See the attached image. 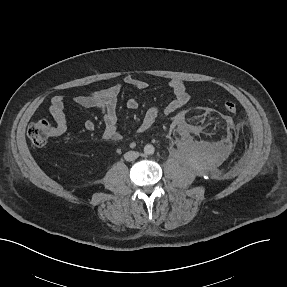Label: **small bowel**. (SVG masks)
<instances>
[{
  "label": "small bowel",
  "mask_w": 287,
  "mask_h": 287,
  "mask_svg": "<svg viewBox=\"0 0 287 287\" xmlns=\"http://www.w3.org/2000/svg\"><path fill=\"white\" fill-rule=\"evenodd\" d=\"M124 86H131L142 90L147 88L148 84L144 80L126 76L121 82L107 88L77 95L73 98V102L78 106L97 108L101 111L104 121L102 137L105 141L119 142L123 138L117 126V104L118 97ZM168 86L173 94L172 100L163 109L150 107L137 126L138 132L149 130L162 114L170 115L189 101L190 96L185 84L181 80L173 79L168 83ZM126 107L130 110H136L139 107V103L136 99L130 98L126 102ZM49 111L56 124L54 133L58 135L65 133L67 129V117L63 96L57 95L52 98ZM84 127L88 131H93L95 129V123L92 120H86Z\"/></svg>",
  "instance_id": "small-bowel-1"
}]
</instances>
